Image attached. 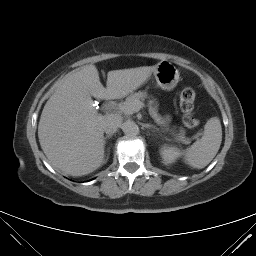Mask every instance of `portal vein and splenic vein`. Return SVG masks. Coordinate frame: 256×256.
Returning a JSON list of instances; mask_svg holds the SVG:
<instances>
[{
    "instance_id": "1",
    "label": "portal vein and splenic vein",
    "mask_w": 256,
    "mask_h": 256,
    "mask_svg": "<svg viewBox=\"0 0 256 256\" xmlns=\"http://www.w3.org/2000/svg\"><path fill=\"white\" fill-rule=\"evenodd\" d=\"M113 104V106L114 105H116L115 103H112ZM142 103L141 102H136L132 107H130V108H128V107H125V106H122V105H119V108L120 109H125V110H127V111H133V113L134 112H138L141 108H142ZM198 137V135H196L195 136V138H197Z\"/></svg>"
}]
</instances>
